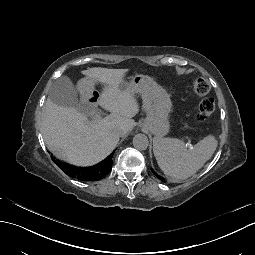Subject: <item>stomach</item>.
<instances>
[{"label": "stomach", "instance_id": "1", "mask_svg": "<svg viewBox=\"0 0 255 255\" xmlns=\"http://www.w3.org/2000/svg\"><path fill=\"white\" fill-rule=\"evenodd\" d=\"M135 86V92L144 97L146 118L143 119L140 129L148 130L155 136L165 135L170 128L167 115L172 107L165 90L153 84V80L144 75H136L130 83Z\"/></svg>", "mask_w": 255, "mask_h": 255}]
</instances>
